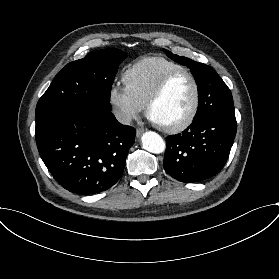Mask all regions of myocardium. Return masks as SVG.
Returning a JSON list of instances; mask_svg holds the SVG:
<instances>
[{
  "label": "myocardium",
  "mask_w": 279,
  "mask_h": 279,
  "mask_svg": "<svg viewBox=\"0 0 279 279\" xmlns=\"http://www.w3.org/2000/svg\"><path fill=\"white\" fill-rule=\"evenodd\" d=\"M183 74L187 75L192 80L194 85L195 95H194L193 105L189 113L186 115V117L180 122L172 125H164L159 123L161 128L168 133L180 132L188 128L195 120L199 112L200 101H201V89L197 78L190 70L187 69L171 72L161 80V82L157 85V87L152 91L147 101V114L148 116L152 117L151 110L155 102L165 93V91L167 90L171 82Z\"/></svg>",
  "instance_id": "1"
}]
</instances>
